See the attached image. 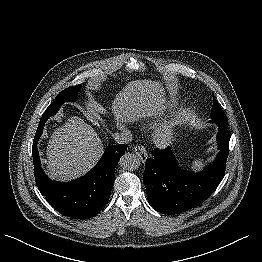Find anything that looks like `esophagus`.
<instances>
[{"instance_id": "obj_1", "label": "esophagus", "mask_w": 262, "mask_h": 262, "mask_svg": "<svg viewBox=\"0 0 262 262\" xmlns=\"http://www.w3.org/2000/svg\"><path fill=\"white\" fill-rule=\"evenodd\" d=\"M134 152L135 154L139 157V159L142 161V162H145L148 155H147V151H146V148L143 146V145H137L135 148H134Z\"/></svg>"}]
</instances>
